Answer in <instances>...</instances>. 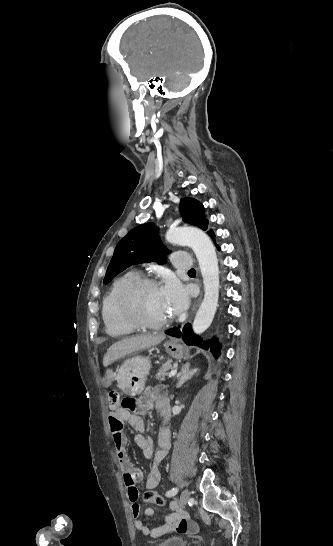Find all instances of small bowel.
Here are the masks:
<instances>
[{
	"label": "small bowel",
	"mask_w": 333,
	"mask_h": 546,
	"mask_svg": "<svg viewBox=\"0 0 333 546\" xmlns=\"http://www.w3.org/2000/svg\"><path fill=\"white\" fill-rule=\"evenodd\" d=\"M115 375L116 372L114 370L106 372L105 387L111 386V381L115 379ZM152 405H155L160 414L159 436L156 447L151 437L143 435L145 425L142 416ZM124 423H128L136 431L134 439L137 446L142 450L144 457L152 461L150 473L146 478V487L154 489L161 482L160 463L167 455L171 444L167 397L159 388H147L139 400L135 402L133 408L117 407L108 417V425L116 450L118 465L122 473L129 501L131 502L132 515L136 518L141 511L140 504L137 502L138 490L136 485L143 479V473L141 469L134 467L129 460L126 451L127 438L123 431ZM169 509L171 513L165 515L163 521L155 528L150 529L141 520H135V528L145 535L158 537L173 530L175 527L180 533H184L192 527V524L188 522L187 513L176 502H171ZM145 515L151 517L153 509L146 508Z\"/></svg>",
	"instance_id": "small-bowel-1"
}]
</instances>
